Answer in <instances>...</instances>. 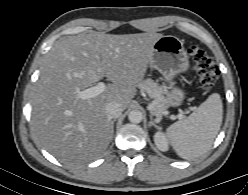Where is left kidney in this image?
<instances>
[{
  "instance_id": "left-kidney-1",
  "label": "left kidney",
  "mask_w": 248,
  "mask_h": 195,
  "mask_svg": "<svg viewBox=\"0 0 248 195\" xmlns=\"http://www.w3.org/2000/svg\"><path fill=\"white\" fill-rule=\"evenodd\" d=\"M154 142H155L156 147L163 152L169 149L168 141L162 132L155 133Z\"/></svg>"
}]
</instances>
